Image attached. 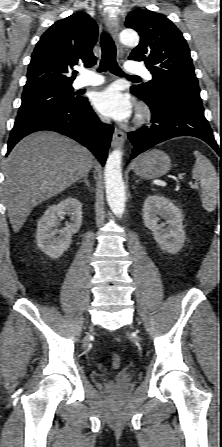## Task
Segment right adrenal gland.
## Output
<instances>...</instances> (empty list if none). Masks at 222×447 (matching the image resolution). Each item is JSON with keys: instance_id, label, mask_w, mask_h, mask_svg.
Segmentation results:
<instances>
[{"instance_id": "obj_1", "label": "right adrenal gland", "mask_w": 222, "mask_h": 447, "mask_svg": "<svg viewBox=\"0 0 222 447\" xmlns=\"http://www.w3.org/2000/svg\"><path fill=\"white\" fill-rule=\"evenodd\" d=\"M81 182H84L88 187H90V183H89L87 174L83 177V180L79 181V183H81Z\"/></svg>"}]
</instances>
